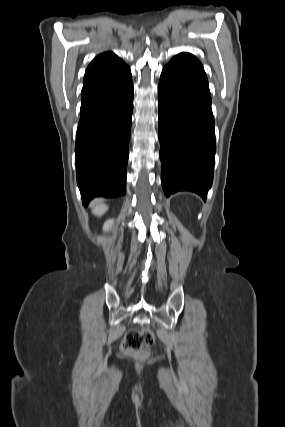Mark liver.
Here are the masks:
<instances>
[{"instance_id":"1","label":"liver","mask_w":285,"mask_h":427,"mask_svg":"<svg viewBox=\"0 0 285 427\" xmlns=\"http://www.w3.org/2000/svg\"><path fill=\"white\" fill-rule=\"evenodd\" d=\"M108 207L102 203H96L93 205V213L97 216L103 215L107 211Z\"/></svg>"}]
</instances>
